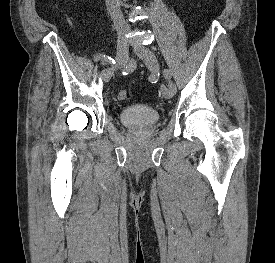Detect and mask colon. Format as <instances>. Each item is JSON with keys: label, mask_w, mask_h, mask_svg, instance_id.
Returning a JSON list of instances; mask_svg holds the SVG:
<instances>
[{"label": "colon", "mask_w": 275, "mask_h": 263, "mask_svg": "<svg viewBox=\"0 0 275 263\" xmlns=\"http://www.w3.org/2000/svg\"><path fill=\"white\" fill-rule=\"evenodd\" d=\"M127 97H128V92L126 90H124V89L118 90V92H117V98L119 100H126Z\"/></svg>", "instance_id": "1"}]
</instances>
